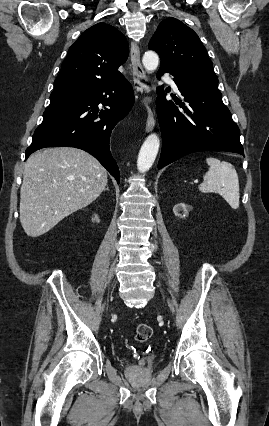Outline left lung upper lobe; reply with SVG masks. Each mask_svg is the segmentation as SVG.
Masks as SVG:
<instances>
[{
    "label": "left lung upper lobe",
    "instance_id": "1",
    "mask_svg": "<svg viewBox=\"0 0 269 426\" xmlns=\"http://www.w3.org/2000/svg\"><path fill=\"white\" fill-rule=\"evenodd\" d=\"M148 47L159 54L160 67L172 68L201 80L218 82L212 62L198 35L178 19L163 20Z\"/></svg>",
    "mask_w": 269,
    "mask_h": 426
}]
</instances>
